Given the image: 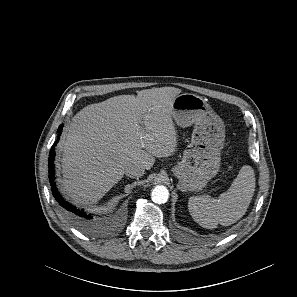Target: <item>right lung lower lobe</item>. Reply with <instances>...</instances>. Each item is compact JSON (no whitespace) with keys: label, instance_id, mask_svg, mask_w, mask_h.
<instances>
[{"label":"right lung lower lobe","instance_id":"98d812e1","mask_svg":"<svg viewBox=\"0 0 297 297\" xmlns=\"http://www.w3.org/2000/svg\"><path fill=\"white\" fill-rule=\"evenodd\" d=\"M62 127H59L58 129V137L56 142L51 147V151L49 153V181L51 184V190L54 198L56 201L60 204V206L67 212V214L76 222V224L80 225L81 227L87 228L91 222L92 217L88 215L83 210L78 209L77 207L73 206L72 204H69L67 201L61 197L59 194L57 188H56V182H55V170H54V158H55V146L59 141L60 135L62 133Z\"/></svg>","mask_w":297,"mask_h":297}]
</instances>
